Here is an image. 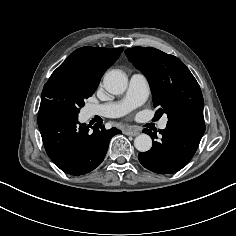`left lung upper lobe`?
Here are the masks:
<instances>
[{"instance_id":"obj_1","label":"left lung upper lobe","mask_w":236,"mask_h":236,"mask_svg":"<svg viewBox=\"0 0 236 236\" xmlns=\"http://www.w3.org/2000/svg\"><path fill=\"white\" fill-rule=\"evenodd\" d=\"M128 59L149 80L156 117L168 118L184 112L203 113L201 89L185 64L158 49L133 47L125 51Z\"/></svg>"}]
</instances>
